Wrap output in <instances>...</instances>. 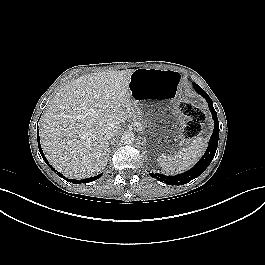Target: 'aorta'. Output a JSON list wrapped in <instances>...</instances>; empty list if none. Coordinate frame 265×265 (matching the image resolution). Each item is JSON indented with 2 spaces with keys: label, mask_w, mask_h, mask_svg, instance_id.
Returning a JSON list of instances; mask_svg holds the SVG:
<instances>
[{
  "label": "aorta",
  "mask_w": 265,
  "mask_h": 265,
  "mask_svg": "<svg viewBox=\"0 0 265 265\" xmlns=\"http://www.w3.org/2000/svg\"><path fill=\"white\" fill-rule=\"evenodd\" d=\"M135 139L134 133L126 131L121 135V142L124 144H131Z\"/></svg>",
  "instance_id": "1"
}]
</instances>
